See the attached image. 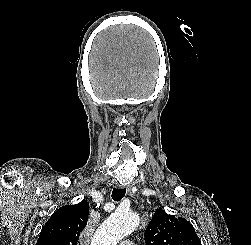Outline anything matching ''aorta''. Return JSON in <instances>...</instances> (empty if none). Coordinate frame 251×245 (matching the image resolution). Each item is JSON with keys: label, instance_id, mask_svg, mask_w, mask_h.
<instances>
[{"label": "aorta", "instance_id": "aorta-1", "mask_svg": "<svg viewBox=\"0 0 251 245\" xmlns=\"http://www.w3.org/2000/svg\"><path fill=\"white\" fill-rule=\"evenodd\" d=\"M139 225V217L130 211L117 210L97 229L91 245H117Z\"/></svg>", "mask_w": 251, "mask_h": 245}]
</instances>
